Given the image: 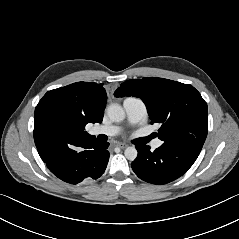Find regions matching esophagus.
I'll use <instances>...</instances> for the list:
<instances>
[{"label": "esophagus", "instance_id": "34e87169", "mask_svg": "<svg viewBox=\"0 0 239 239\" xmlns=\"http://www.w3.org/2000/svg\"><path fill=\"white\" fill-rule=\"evenodd\" d=\"M117 146H118L119 148H121V149H124V148H126L128 145L125 144V143H117Z\"/></svg>", "mask_w": 239, "mask_h": 239}]
</instances>
